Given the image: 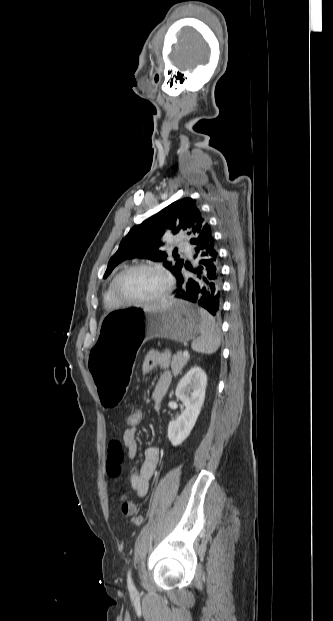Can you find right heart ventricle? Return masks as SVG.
<instances>
[{
    "label": "right heart ventricle",
    "instance_id": "obj_1",
    "mask_svg": "<svg viewBox=\"0 0 333 621\" xmlns=\"http://www.w3.org/2000/svg\"><path fill=\"white\" fill-rule=\"evenodd\" d=\"M114 278H112L111 281L109 282L107 289L105 290V293L103 296L104 304L108 308H115L119 306L112 291V284H113Z\"/></svg>",
    "mask_w": 333,
    "mask_h": 621
}]
</instances>
